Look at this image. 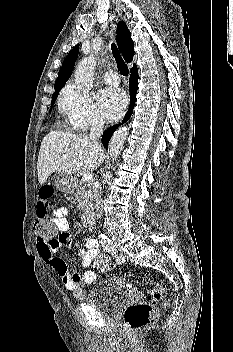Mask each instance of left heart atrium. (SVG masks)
<instances>
[{
  "label": "left heart atrium",
  "mask_w": 233,
  "mask_h": 352,
  "mask_svg": "<svg viewBox=\"0 0 233 352\" xmlns=\"http://www.w3.org/2000/svg\"><path fill=\"white\" fill-rule=\"evenodd\" d=\"M127 105L125 93L117 88L103 89L98 95V106L105 119L114 121L121 117Z\"/></svg>",
  "instance_id": "obj_1"
}]
</instances>
